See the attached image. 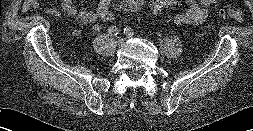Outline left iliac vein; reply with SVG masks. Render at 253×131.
<instances>
[{
    "instance_id": "4c4485c4",
    "label": "left iliac vein",
    "mask_w": 253,
    "mask_h": 131,
    "mask_svg": "<svg viewBox=\"0 0 253 131\" xmlns=\"http://www.w3.org/2000/svg\"><path fill=\"white\" fill-rule=\"evenodd\" d=\"M128 38H132L133 37V34L132 35H127Z\"/></svg>"
}]
</instances>
